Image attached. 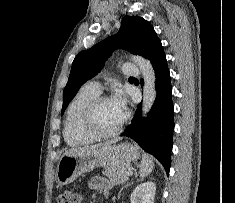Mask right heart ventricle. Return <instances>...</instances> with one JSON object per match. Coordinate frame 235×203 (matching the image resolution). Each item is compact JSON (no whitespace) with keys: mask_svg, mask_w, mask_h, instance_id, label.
<instances>
[{"mask_svg":"<svg viewBox=\"0 0 235 203\" xmlns=\"http://www.w3.org/2000/svg\"><path fill=\"white\" fill-rule=\"evenodd\" d=\"M99 91L89 84L83 86L70 102L64 124L63 136L70 146H79L96 140L83 127V117L89 102L99 95Z\"/></svg>","mask_w":235,"mask_h":203,"instance_id":"1","label":"right heart ventricle"}]
</instances>
